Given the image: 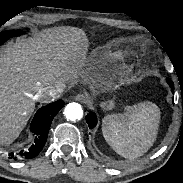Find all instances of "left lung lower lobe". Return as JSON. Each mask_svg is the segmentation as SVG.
Listing matches in <instances>:
<instances>
[{"instance_id": "obj_1", "label": "left lung lower lobe", "mask_w": 183, "mask_h": 183, "mask_svg": "<svg viewBox=\"0 0 183 183\" xmlns=\"http://www.w3.org/2000/svg\"><path fill=\"white\" fill-rule=\"evenodd\" d=\"M169 84H170V86H171V88H172V91H173V89H174L173 82L169 80ZM86 121H87V123H88V125H89V128H90V129H93V128L96 126V124H97V117H96V114L93 113V112H90V113L86 116Z\"/></svg>"}]
</instances>
